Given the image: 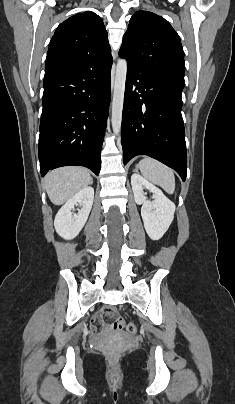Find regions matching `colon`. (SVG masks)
<instances>
[{
  "instance_id": "obj_1",
  "label": "colon",
  "mask_w": 235,
  "mask_h": 404,
  "mask_svg": "<svg viewBox=\"0 0 235 404\" xmlns=\"http://www.w3.org/2000/svg\"><path fill=\"white\" fill-rule=\"evenodd\" d=\"M105 316L111 318V321L107 322V328L112 331L120 330L121 328L125 327L128 333H135L137 330V326L134 322L125 323V321L121 318H117V313L114 308L107 307L104 308Z\"/></svg>"
}]
</instances>
